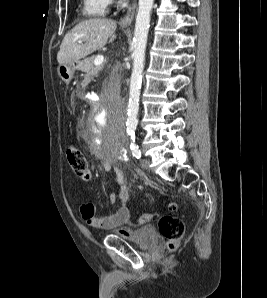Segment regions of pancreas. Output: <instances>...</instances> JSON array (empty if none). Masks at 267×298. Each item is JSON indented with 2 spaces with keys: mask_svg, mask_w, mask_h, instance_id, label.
Masks as SVG:
<instances>
[{
  "mask_svg": "<svg viewBox=\"0 0 267 298\" xmlns=\"http://www.w3.org/2000/svg\"><path fill=\"white\" fill-rule=\"evenodd\" d=\"M95 58L96 56L93 55L83 60L79 65V69L86 73V77H93L97 75V73L103 68V64L99 66L94 65Z\"/></svg>",
  "mask_w": 267,
  "mask_h": 298,
  "instance_id": "1",
  "label": "pancreas"
}]
</instances>
